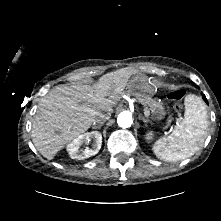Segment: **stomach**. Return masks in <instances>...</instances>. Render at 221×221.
<instances>
[{"instance_id": "stomach-1", "label": "stomach", "mask_w": 221, "mask_h": 221, "mask_svg": "<svg viewBox=\"0 0 221 221\" xmlns=\"http://www.w3.org/2000/svg\"><path fill=\"white\" fill-rule=\"evenodd\" d=\"M128 90L140 99H147L152 94L153 83L147 76L138 75L129 81Z\"/></svg>"}]
</instances>
